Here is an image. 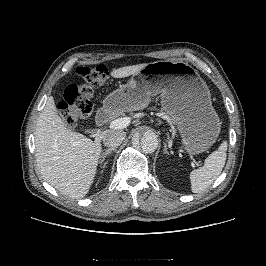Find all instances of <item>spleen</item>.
<instances>
[{"label": "spleen", "mask_w": 266, "mask_h": 266, "mask_svg": "<svg viewBox=\"0 0 266 266\" xmlns=\"http://www.w3.org/2000/svg\"><path fill=\"white\" fill-rule=\"evenodd\" d=\"M227 142L224 141L217 151L212 152L204 165L190 173L191 190L201 193L209 188L220 175L226 161Z\"/></svg>", "instance_id": "spleen-1"}]
</instances>
